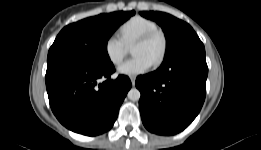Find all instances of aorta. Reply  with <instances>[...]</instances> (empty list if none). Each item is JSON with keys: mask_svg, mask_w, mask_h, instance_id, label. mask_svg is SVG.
<instances>
[{"mask_svg": "<svg viewBox=\"0 0 261 150\" xmlns=\"http://www.w3.org/2000/svg\"><path fill=\"white\" fill-rule=\"evenodd\" d=\"M128 98L132 101H138L140 99V91L137 88H132L127 94Z\"/></svg>", "mask_w": 261, "mask_h": 150, "instance_id": "762f6f07", "label": "aorta"}]
</instances>
